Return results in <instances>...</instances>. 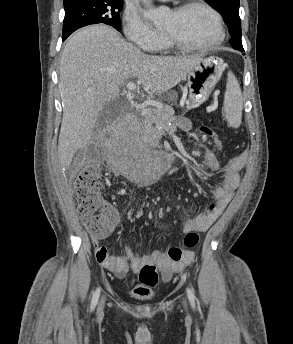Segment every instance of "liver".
Instances as JSON below:
<instances>
[{
	"label": "liver",
	"mask_w": 293,
	"mask_h": 344,
	"mask_svg": "<svg viewBox=\"0 0 293 344\" xmlns=\"http://www.w3.org/2000/svg\"><path fill=\"white\" fill-rule=\"evenodd\" d=\"M200 56H153L126 42L112 28L94 25L77 31L60 61L63 117L58 140L61 167L92 137L100 112L115 100L121 85L137 79L144 91L164 93L194 69Z\"/></svg>",
	"instance_id": "6515ba94"
}]
</instances>
